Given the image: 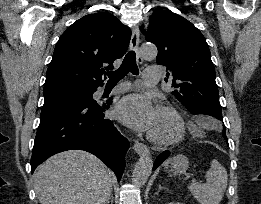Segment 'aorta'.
Segmentation results:
<instances>
[{
  "mask_svg": "<svg viewBox=\"0 0 261 204\" xmlns=\"http://www.w3.org/2000/svg\"><path fill=\"white\" fill-rule=\"evenodd\" d=\"M140 54L145 59H154L157 56V48L154 45H142L140 48ZM153 168V160L151 157L146 156L139 159L136 163L132 174V182L138 186H143Z\"/></svg>",
  "mask_w": 261,
  "mask_h": 204,
  "instance_id": "1",
  "label": "aorta"
}]
</instances>
